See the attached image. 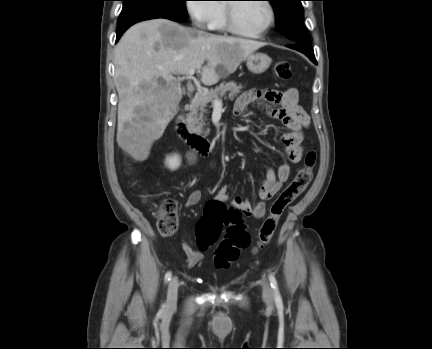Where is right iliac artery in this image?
I'll return each mask as SVG.
<instances>
[{
  "label": "right iliac artery",
  "mask_w": 432,
  "mask_h": 349,
  "mask_svg": "<svg viewBox=\"0 0 432 349\" xmlns=\"http://www.w3.org/2000/svg\"><path fill=\"white\" fill-rule=\"evenodd\" d=\"M171 277H172L171 272H170V271L167 272V273L165 274V283H168V282L170 281Z\"/></svg>",
  "instance_id": "82829eb1"
}]
</instances>
